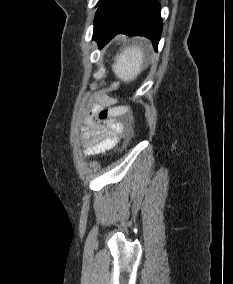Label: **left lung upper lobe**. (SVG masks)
Masks as SVG:
<instances>
[{
  "label": "left lung upper lobe",
  "mask_w": 233,
  "mask_h": 284,
  "mask_svg": "<svg viewBox=\"0 0 233 284\" xmlns=\"http://www.w3.org/2000/svg\"><path fill=\"white\" fill-rule=\"evenodd\" d=\"M102 2V0H99V2L97 3V6Z\"/></svg>",
  "instance_id": "1"
}]
</instances>
